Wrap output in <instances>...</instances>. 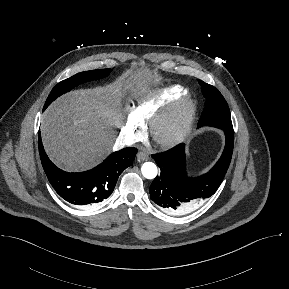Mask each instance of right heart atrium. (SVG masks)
<instances>
[{
  "instance_id": "1",
  "label": "right heart atrium",
  "mask_w": 289,
  "mask_h": 289,
  "mask_svg": "<svg viewBox=\"0 0 289 289\" xmlns=\"http://www.w3.org/2000/svg\"><path fill=\"white\" fill-rule=\"evenodd\" d=\"M142 128V123L130 112L122 126V134L128 140H135L141 135Z\"/></svg>"
}]
</instances>
